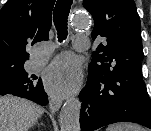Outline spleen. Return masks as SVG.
<instances>
[{"label": "spleen", "instance_id": "spleen-1", "mask_svg": "<svg viewBox=\"0 0 151 131\" xmlns=\"http://www.w3.org/2000/svg\"><path fill=\"white\" fill-rule=\"evenodd\" d=\"M106 131H144V129L133 124L119 123L108 126Z\"/></svg>", "mask_w": 151, "mask_h": 131}]
</instances>
